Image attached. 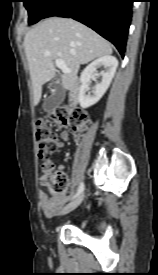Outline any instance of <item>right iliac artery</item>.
<instances>
[{
  "mask_svg": "<svg viewBox=\"0 0 158 275\" xmlns=\"http://www.w3.org/2000/svg\"><path fill=\"white\" fill-rule=\"evenodd\" d=\"M83 190H84V184H83V183H80L79 188H78V191H77V193L74 195L73 198H76L77 196H79V195L83 192Z\"/></svg>",
  "mask_w": 158,
  "mask_h": 275,
  "instance_id": "obj_1",
  "label": "right iliac artery"
}]
</instances>
